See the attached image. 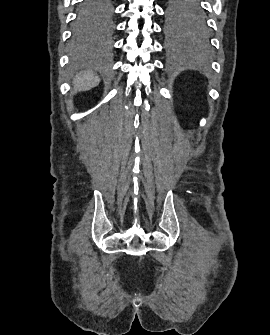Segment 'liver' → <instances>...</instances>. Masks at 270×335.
I'll return each mask as SVG.
<instances>
[{
    "label": "liver",
    "instance_id": "obj_1",
    "mask_svg": "<svg viewBox=\"0 0 270 335\" xmlns=\"http://www.w3.org/2000/svg\"><path fill=\"white\" fill-rule=\"evenodd\" d=\"M99 82V76H94L92 72H87V74H78L74 80L77 90H83V92H85V90L95 88V86H98Z\"/></svg>",
    "mask_w": 270,
    "mask_h": 335
}]
</instances>
